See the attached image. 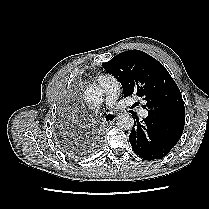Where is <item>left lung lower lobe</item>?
Returning a JSON list of instances; mask_svg holds the SVG:
<instances>
[{
    "label": "left lung lower lobe",
    "instance_id": "1",
    "mask_svg": "<svg viewBox=\"0 0 209 209\" xmlns=\"http://www.w3.org/2000/svg\"><path fill=\"white\" fill-rule=\"evenodd\" d=\"M184 123L170 118L148 115L143 121L134 117L129 135L133 151L142 159L157 160L165 157L179 141Z\"/></svg>",
    "mask_w": 209,
    "mask_h": 209
}]
</instances>
